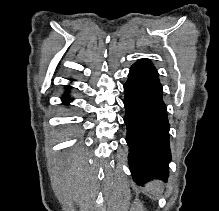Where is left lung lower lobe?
I'll return each instance as SVG.
<instances>
[{
  "label": "left lung lower lobe",
  "instance_id": "obj_1",
  "mask_svg": "<svg viewBox=\"0 0 219 211\" xmlns=\"http://www.w3.org/2000/svg\"><path fill=\"white\" fill-rule=\"evenodd\" d=\"M124 92L132 177L138 185L167 179L171 161L168 114L159 74L150 60L140 59L131 66Z\"/></svg>",
  "mask_w": 219,
  "mask_h": 211
}]
</instances>
